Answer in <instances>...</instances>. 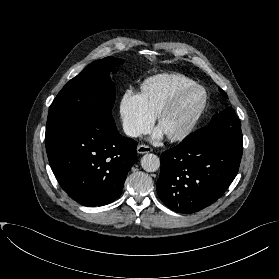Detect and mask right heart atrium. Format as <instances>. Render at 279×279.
<instances>
[{
	"label": "right heart atrium",
	"instance_id": "right-heart-atrium-1",
	"mask_svg": "<svg viewBox=\"0 0 279 279\" xmlns=\"http://www.w3.org/2000/svg\"><path fill=\"white\" fill-rule=\"evenodd\" d=\"M119 119L124 133L136 138L147 132L154 116L147 110L139 93L126 90L119 100Z\"/></svg>",
	"mask_w": 279,
	"mask_h": 279
}]
</instances>
